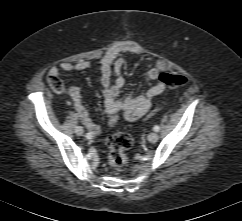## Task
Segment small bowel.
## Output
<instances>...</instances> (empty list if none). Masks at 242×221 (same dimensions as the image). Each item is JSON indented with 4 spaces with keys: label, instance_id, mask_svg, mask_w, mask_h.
Here are the masks:
<instances>
[{
    "label": "small bowel",
    "instance_id": "obj_1",
    "mask_svg": "<svg viewBox=\"0 0 242 221\" xmlns=\"http://www.w3.org/2000/svg\"><path fill=\"white\" fill-rule=\"evenodd\" d=\"M129 52L133 54H143L142 48L132 42H120L110 48L100 59L101 83L103 86V97L105 114L107 116L120 113L125 120L134 121L143 116L151 107L152 99L160 95L165 86L157 81L159 70L151 68L146 73L148 82L157 81L149 87L143 94L138 96H128L120 98L119 94L125 85V79L121 75L124 66L122 53ZM90 63L86 60L78 62H62L59 67H52L50 75H60V70L65 72L82 71L87 69ZM70 100L82 123L93 135L99 133V126L91 119L87 109L83 104L81 92L78 87H71L65 92Z\"/></svg>",
    "mask_w": 242,
    "mask_h": 221
}]
</instances>
